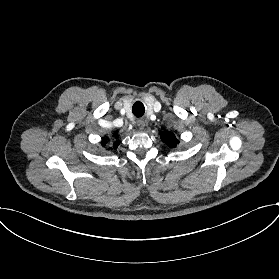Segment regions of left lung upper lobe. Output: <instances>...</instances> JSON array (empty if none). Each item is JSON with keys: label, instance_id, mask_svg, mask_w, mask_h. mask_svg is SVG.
I'll use <instances>...</instances> for the list:
<instances>
[{"label": "left lung upper lobe", "instance_id": "obj_1", "mask_svg": "<svg viewBox=\"0 0 279 279\" xmlns=\"http://www.w3.org/2000/svg\"><path fill=\"white\" fill-rule=\"evenodd\" d=\"M161 139L165 142L169 147H176L179 143L178 139L172 132L165 131L161 134Z\"/></svg>", "mask_w": 279, "mask_h": 279}]
</instances>
